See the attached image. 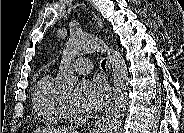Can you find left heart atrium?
<instances>
[{
  "mask_svg": "<svg viewBox=\"0 0 184 133\" xmlns=\"http://www.w3.org/2000/svg\"><path fill=\"white\" fill-rule=\"evenodd\" d=\"M108 99V88L99 78L86 79L76 88L74 93L75 106L84 113L98 111Z\"/></svg>",
  "mask_w": 184,
  "mask_h": 133,
  "instance_id": "1",
  "label": "left heart atrium"
}]
</instances>
